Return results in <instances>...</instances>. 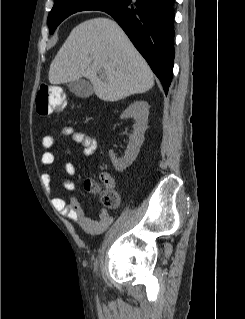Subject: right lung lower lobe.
Segmentation results:
<instances>
[{"instance_id":"obj_1","label":"right lung lower lobe","mask_w":245,"mask_h":319,"mask_svg":"<svg viewBox=\"0 0 245 319\" xmlns=\"http://www.w3.org/2000/svg\"><path fill=\"white\" fill-rule=\"evenodd\" d=\"M175 0H123L111 15L150 65L167 94L174 63Z\"/></svg>"}]
</instances>
